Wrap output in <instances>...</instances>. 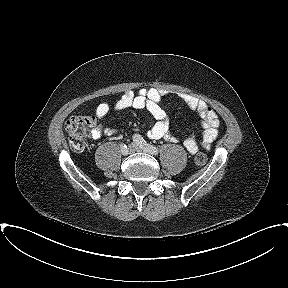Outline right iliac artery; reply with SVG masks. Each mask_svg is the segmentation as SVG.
<instances>
[{
  "label": "right iliac artery",
  "instance_id": "obj_1",
  "mask_svg": "<svg viewBox=\"0 0 288 288\" xmlns=\"http://www.w3.org/2000/svg\"><path fill=\"white\" fill-rule=\"evenodd\" d=\"M121 146V154L123 155V156H126V155H128L129 154V149L127 148V146L124 144H121L120 145Z\"/></svg>",
  "mask_w": 288,
  "mask_h": 288
}]
</instances>
